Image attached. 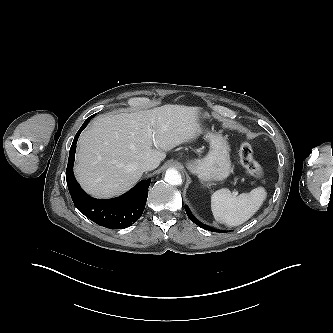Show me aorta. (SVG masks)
<instances>
[{"label":"aorta","instance_id":"obj_1","mask_svg":"<svg viewBox=\"0 0 333 333\" xmlns=\"http://www.w3.org/2000/svg\"><path fill=\"white\" fill-rule=\"evenodd\" d=\"M164 179L170 185H180L182 183L181 174L176 169H168Z\"/></svg>","mask_w":333,"mask_h":333}]
</instances>
